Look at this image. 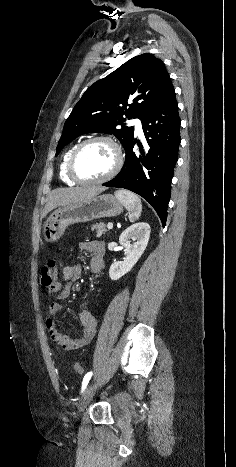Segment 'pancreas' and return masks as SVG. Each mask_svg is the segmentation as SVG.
I'll use <instances>...</instances> for the list:
<instances>
[{"instance_id":"pancreas-1","label":"pancreas","mask_w":236,"mask_h":467,"mask_svg":"<svg viewBox=\"0 0 236 467\" xmlns=\"http://www.w3.org/2000/svg\"><path fill=\"white\" fill-rule=\"evenodd\" d=\"M92 231L96 232V237L100 238L103 234L106 233V228L104 223H96L91 226Z\"/></svg>"}]
</instances>
